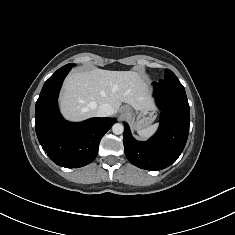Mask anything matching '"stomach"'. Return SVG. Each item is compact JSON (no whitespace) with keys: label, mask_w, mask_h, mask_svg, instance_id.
Instances as JSON below:
<instances>
[{"label":"stomach","mask_w":235,"mask_h":235,"mask_svg":"<svg viewBox=\"0 0 235 235\" xmlns=\"http://www.w3.org/2000/svg\"><path fill=\"white\" fill-rule=\"evenodd\" d=\"M128 117L131 120L132 126L137 131H140L149 127L155 121L157 113L152 106L134 110L129 108Z\"/></svg>","instance_id":"1"}]
</instances>
